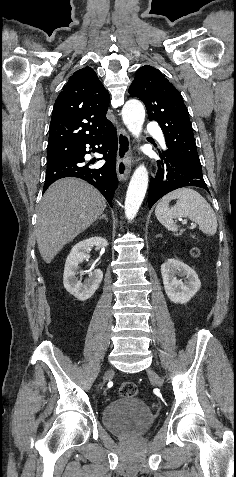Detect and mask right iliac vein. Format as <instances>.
<instances>
[{
	"label": "right iliac vein",
	"mask_w": 236,
	"mask_h": 477,
	"mask_svg": "<svg viewBox=\"0 0 236 477\" xmlns=\"http://www.w3.org/2000/svg\"><path fill=\"white\" fill-rule=\"evenodd\" d=\"M111 373V370H107L104 377H103V382L106 383L107 379H108V376L109 374Z\"/></svg>",
	"instance_id": "obj_1"
}]
</instances>
